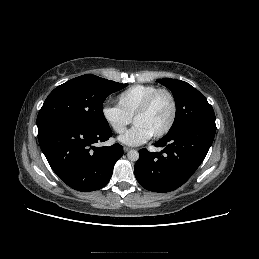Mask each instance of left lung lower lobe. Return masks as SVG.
Masks as SVG:
<instances>
[{"instance_id": "0a47b994", "label": "left lung lower lobe", "mask_w": 259, "mask_h": 259, "mask_svg": "<svg viewBox=\"0 0 259 259\" xmlns=\"http://www.w3.org/2000/svg\"><path fill=\"white\" fill-rule=\"evenodd\" d=\"M216 129L201 125L169 132L154 145L163 150L139 151L134 173L139 184L154 192H170L183 185L203 162Z\"/></svg>"}]
</instances>
